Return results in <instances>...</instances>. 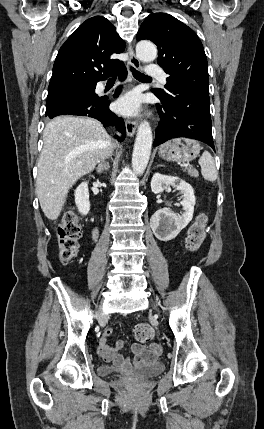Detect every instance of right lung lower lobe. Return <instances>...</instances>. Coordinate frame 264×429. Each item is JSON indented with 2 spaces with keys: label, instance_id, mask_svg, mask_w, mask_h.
Returning a JSON list of instances; mask_svg holds the SVG:
<instances>
[{
  "label": "right lung lower lobe",
  "instance_id": "obj_1",
  "mask_svg": "<svg viewBox=\"0 0 264 429\" xmlns=\"http://www.w3.org/2000/svg\"><path fill=\"white\" fill-rule=\"evenodd\" d=\"M115 74L119 75V79H124L127 75L126 68L123 63L117 66L108 76ZM107 76V77H108ZM107 77H104L106 79ZM102 80V79H101ZM97 83V82H96ZM94 83V86H96ZM120 89H117L114 96H118ZM110 101L107 98L97 97H75L68 99L48 112H46V116L49 118H54L59 115H78V116H88L99 120L104 127L106 126H116L118 131H121L125 136V123L124 120L118 116H116L109 109ZM124 136L122 138H118L119 141L124 140Z\"/></svg>",
  "mask_w": 264,
  "mask_h": 429
}]
</instances>
